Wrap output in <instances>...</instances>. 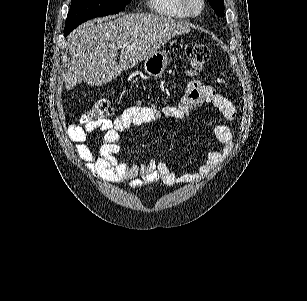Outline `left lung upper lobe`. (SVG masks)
<instances>
[{
    "instance_id": "obj_1",
    "label": "left lung upper lobe",
    "mask_w": 307,
    "mask_h": 301,
    "mask_svg": "<svg viewBox=\"0 0 307 301\" xmlns=\"http://www.w3.org/2000/svg\"><path fill=\"white\" fill-rule=\"evenodd\" d=\"M211 7L214 9L217 15L224 16V2L223 0H208Z\"/></svg>"
}]
</instances>
